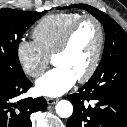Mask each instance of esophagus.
Masks as SVG:
<instances>
[{"mask_svg":"<svg viewBox=\"0 0 127 127\" xmlns=\"http://www.w3.org/2000/svg\"><path fill=\"white\" fill-rule=\"evenodd\" d=\"M46 101H47V103H48L49 105H53V104H55V103L58 101V99L47 98Z\"/></svg>","mask_w":127,"mask_h":127,"instance_id":"34e87169","label":"esophagus"}]
</instances>
